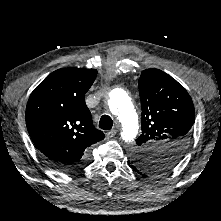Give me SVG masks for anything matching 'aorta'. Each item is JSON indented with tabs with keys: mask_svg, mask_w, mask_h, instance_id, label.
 <instances>
[{
	"mask_svg": "<svg viewBox=\"0 0 221 221\" xmlns=\"http://www.w3.org/2000/svg\"><path fill=\"white\" fill-rule=\"evenodd\" d=\"M108 106L121 124V137L131 142L138 133V117L130 97L123 89L115 88L109 93Z\"/></svg>",
	"mask_w": 221,
	"mask_h": 221,
	"instance_id": "1",
	"label": "aorta"
}]
</instances>
